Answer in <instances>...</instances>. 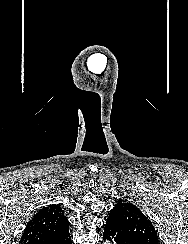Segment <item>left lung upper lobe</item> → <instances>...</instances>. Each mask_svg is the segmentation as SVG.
<instances>
[{"mask_svg": "<svg viewBox=\"0 0 188 244\" xmlns=\"http://www.w3.org/2000/svg\"><path fill=\"white\" fill-rule=\"evenodd\" d=\"M115 213L130 234L144 244H159L153 223L140 209L124 200L117 201L110 213Z\"/></svg>", "mask_w": 188, "mask_h": 244, "instance_id": "left-lung-upper-lobe-1", "label": "left lung upper lobe"}]
</instances>
